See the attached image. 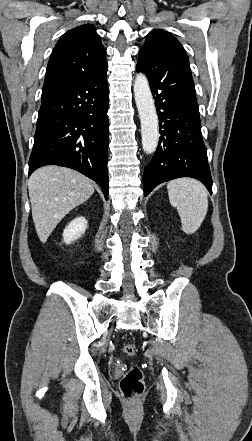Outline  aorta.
<instances>
[{
	"mask_svg": "<svg viewBox=\"0 0 252 441\" xmlns=\"http://www.w3.org/2000/svg\"><path fill=\"white\" fill-rule=\"evenodd\" d=\"M134 97L141 121L142 147L151 154L158 145V117L147 77L142 73L135 78Z\"/></svg>",
	"mask_w": 252,
	"mask_h": 441,
	"instance_id": "aorta-1",
	"label": "aorta"
}]
</instances>
